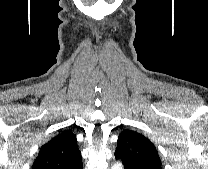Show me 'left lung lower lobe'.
<instances>
[{
    "label": "left lung lower lobe",
    "instance_id": "1",
    "mask_svg": "<svg viewBox=\"0 0 208 169\" xmlns=\"http://www.w3.org/2000/svg\"><path fill=\"white\" fill-rule=\"evenodd\" d=\"M115 157L116 159H120L124 169H138L137 167H135L127 158H125L124 156H122L120 153L115 152Z\"/></svg>",
    "mask_w": 208,
    "mask_h": 169
}]
</instances>
